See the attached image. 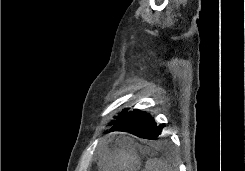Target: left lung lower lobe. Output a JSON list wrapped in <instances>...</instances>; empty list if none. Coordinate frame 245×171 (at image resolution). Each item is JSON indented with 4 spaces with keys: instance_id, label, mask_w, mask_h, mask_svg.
<instances>
[{
    "instance_id": "0a47b994",
    "label": "left lung lower lobe",
    "mask_w": 245,
    "mask_h": 171,
    "mask_svg": "<svg viewBox=\"0 0 245 171\" xmlns=\"http://www.w3.org/2000/svg\"><path fill=\"white\" fill-rule=\"evenodd\" d=\"M162 129L163 127L157 125L149 113L135 109L125 113L113 124L109 132L124 131L144 139L156 140Z\"/></svg>"
}]
</instances>
